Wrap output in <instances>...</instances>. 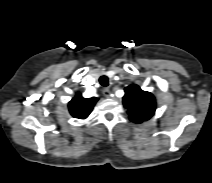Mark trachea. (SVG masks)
Segmentation results:
<instances>
[{"label": "trachea", "instance_id": "1", "mask_svg": "<svg viewBox=\"0 0 212 183\" xmlns=\"http://www.w3.org/2000/svg\"><path fill=\"white\" fill-rule=\"evenodd\" d=\"M99 82L104 87H106V86L109 85L108 77L107 76H104V75L99 78Z\"/></svg>", "mask_w": 212, "mask_h": 183}]
</instances>
